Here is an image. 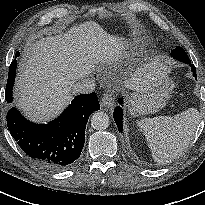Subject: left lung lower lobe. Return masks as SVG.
I'll return each mask as SVG.
<instances>
[{"instance_id": "left-lung-lower-lobe-1", "label": "left lung lower lobe", "mask_w": 205, "mask_h": 205, "mask_svg": "<svg viewBox=\"0 0 205 205\" xmlns=\"http://www.w3.org/2000/svg\"><path fill=\"white\" fill-rule=\"evenodd\" d=\"M186 64H189L190 67H191V70L193 72V76L195 78L196 77V69H195V66L193 64L190 63H186ZM119 103L122 104V99H119ZM113 117H114V120L116 122V125L118 126V129L120 132H122L123 130V126H122V119H123V111L121 109V107H117L115 110H114V113H113Z\"/></svg>"}]
</instances>
